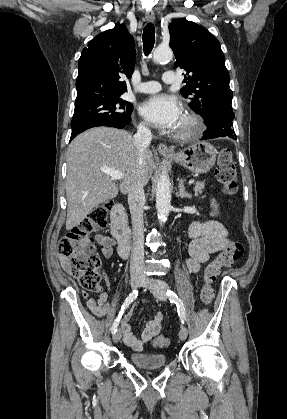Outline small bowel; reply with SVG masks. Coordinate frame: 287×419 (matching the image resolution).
Instances as JSON below:
<instances>
[{
  "label": "small bowel",
  "mask_w": 287,
  "mask_h": 419,
  "mask_svg": "<svg viewBox=\"0 0 287 419\" xmlns=\"http://www.w3.org/2000/svg\"><path fill=\"white\" fill-rule=\"evenodd\" d=\"M190 236L192 240L188 248L189 258L186 260V267L192 273L200 272L202 265L208 260L209 256L223 250L229 243L225 226L214 221L193 224ZM95 239L101 246L102 254L107 258L111 257L116 244L115 240L102 234L96 235ZM61 265L65 271H69V261L67 259H61ZM106 282L108 284L107 278ZM83 296L86 299L89 310L95 316L104 317L113 312V307L108 302V291L101 292L98 298L90 297L87 293H84ZM130 318L131 312L122 317L121 327L124 341L134 351H142L144 346L159 334L163 315L157 313L147 322L140 339L132 332L129 323Z\"/></svg>",
  "instance_id": "obj_1"
}]
</instances>
